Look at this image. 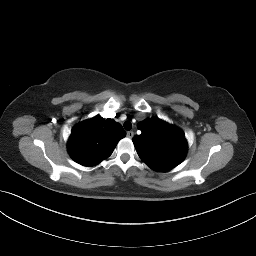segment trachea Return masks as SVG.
<instances>
[{
    "mask_svg": "<svg viewBox=\"0 0 256 256\" xmlns=\"http://www.w3.org/2000/svg\"><path fill=\"white\" fill-rule=\"evenodd\" d=\"M123 126L125 130H131L132 128V124L129 121H126Z\"/></svg>",
    "mask_w": 256,
    "mask_h": 256,
    "instance_id": "trachea-1",
    "label": "trachea"
}]
</instances>
